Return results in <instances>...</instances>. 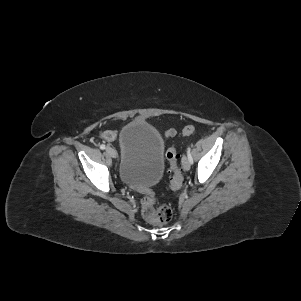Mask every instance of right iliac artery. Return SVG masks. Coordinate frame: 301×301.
<instances>
[{
	"instance_id": "right-iliac-artery-1",
	"label": "right iliac artery",
	"mask_w": 301,
	"mask_h": 301,
	"mask_svg": "<svg viewBox=\"0 0 301 301\" xmlns=\"http://www.w3.org/2000/svg\"><path fill=\"white\" fill-rule=\"evenodd\" d=\"M106 148V146L104 144L100 145V149L104 150Z\"/></svg>"
}]
</instances>
